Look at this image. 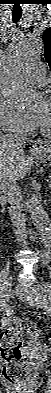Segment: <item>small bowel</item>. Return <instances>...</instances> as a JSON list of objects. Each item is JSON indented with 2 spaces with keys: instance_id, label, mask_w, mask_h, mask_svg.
<instances>
[{
  "instance_id": "c3829d8e",
  "label": "small bowel",
  "mask_w": 51,
  "mask_h": 393,
  "mask_svg": "<svg viewBox=\"0 0 51 393\" xmlns=\"http://www.w3.org/2000/svg\"><path fill=\"white\" fill-rule=\"evenodd\" d=\"M6 323H7V320H4V321H3V324L5 325Z\"/></svg>"
}]
</instances>
